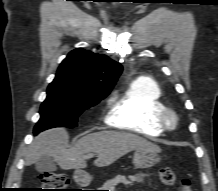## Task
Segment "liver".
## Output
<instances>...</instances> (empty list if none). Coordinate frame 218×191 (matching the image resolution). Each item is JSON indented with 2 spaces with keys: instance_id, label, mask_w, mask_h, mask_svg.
Listing matches in <instances>:
<instances>
[{
  "instance_id": "1",
  "label": "liver",
  "mask_w": 218,
  "mask_h": 191,
  "mask_svg": "<svg viewBox=\"0 0 218 191\" xmlns=\"http://www.w3.org/2000/svg\"><path fill=\"white\" fill-rule=\"evenodd\" d=\"M69 135L64 128H56L40 133L31 144L26 157L27 166L35 163L42 156H51L64 169H81L87 166L85 155L97 154L94 165L105 167L133 150L161 149L152 142L138 135L103 130L83 136L75 145L68 148Z\"/></svg>"
}]
</instances>
